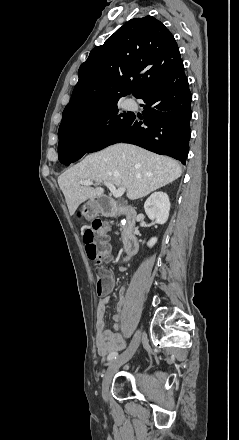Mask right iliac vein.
I'll list each match as a JSON object with an SVG mask.
<instances>
[{"mask_svg":"<svg viewBox=\"0 0 239 440\" xmlns=\"http://www.w3.org/2000/svg\"><path fill=\"white\" fill-rule=\"evenodd\" d=\"M142 332L138 330L135 335L133 336V339L131 340V343L126 351H124L121 355L116 357L108 366L103 381H102V395L104 398H107L109 393V387L113 378V375L116 373V371L126 362H128L131 357L134 355L135 351L137 350L140 340H141Z\"/></svg>","mask_w":239,"mask_h":440,"instance_id":"1","label":"right iliac vein"}]
</instances>
